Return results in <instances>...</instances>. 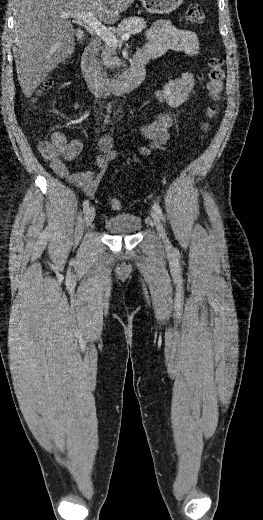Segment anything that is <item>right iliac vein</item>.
<instances>
[{"mask_svg":"<svg viewBox=\"0 0 263 520\" xmlns=\"http://www.w3.org/2000/svg\"><path fill=\"white\" fill-rule=\"evenodd\" d=\"M95 218V209L93 206H90L86 209L84 214V222L87 227L91 226L93 220Z\"/></svg>","mask_w":263,"mask_h":520,"instance_id":"right-iliac-vein-1","label":"right iliac vein"}]
</instances>
